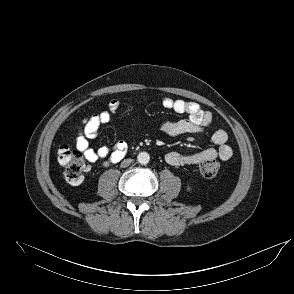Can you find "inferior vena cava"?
I'll use <instances>...</instances> for the list:
<instances>
[{"label": "inferior vena cava", "instance_id": "inferior-vena-cava-1", "mask_svg": "<svg viewBox=\"0 0 294 294\" xmlns=\"http://www.w3.org/2000/svg\"><path fill=\"white\" fill-rule=\"evenodd\" d=\"M132 162V159H126L122 161L121 167H127Z\"/></svg>", "mask_w": 294, "mask_h": 294}]
</instances>
